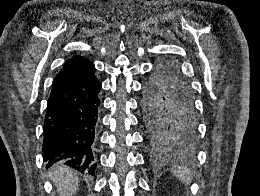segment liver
Returning <instances> with one entry per match:
<instances>
[{
    "mask_svg": "<svg viewBox=\"0 0 260 196\" xmlns=\"http://www.w3.org/2000/svg\"><path fill=\"white\" fill-rule=\"evenodd\" d=\"M50 178L54 182L59 196H74L78 190L77 172L67 166H55L50 172Z\"/></svg>",
    "mask_w": 260,
    "mask_h": 196,
    "instance_id": "liver-1",
    "label": "liver"
}]
</instances>
